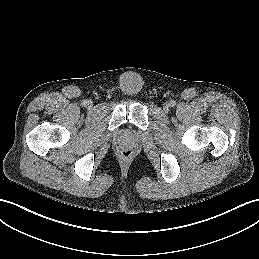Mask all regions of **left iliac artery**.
I'll list each match as a JSON object with an SVG mask.
<instances>
[{
  "instance_id": "left-iliac-artery-1",
  "label": "left iliac artery",
  "mask_w": 259,
  "mask_h": 259,
  "mask_svg": "<svg viewBox=\"0 0 259 259\" xmlns=\"http://www.w3.org/2000/svg\"><path fill=\"white\" fill-rule=\"evenodd\" d=\"M169 104H170L171 107H174L176 105V102L172 100V101H170Z\"/></svg>"
}]
</instances>
